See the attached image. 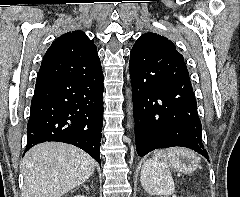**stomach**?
Instances as JSON below:
<instances>
[{
	"mask_svg": "<svg viewBox=\"0 0 240 197\" xmlns=\"http://www.w3.org/2000/svg\"><path fill=\"white\" fill-rule=\"evenodd\" d=\"M198 163L196 158L179 156L175 162L171 163V166L179 172L189 174L196 170Z\"/></svg>",
	"mask_w": 240,
	"mask_h": 197,
	"instance_id": "0dacf381",
	"label": "stomach"
}]
</instances>
